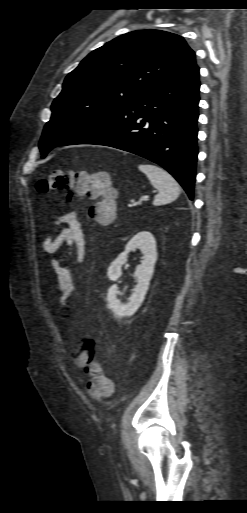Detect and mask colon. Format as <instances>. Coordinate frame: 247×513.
<instances>
[{
	"label": "colon",
	"mask_w": 247,
	"mask_h": 513,
	"mask_svg": "<svg viewBox=\"0 0 247 513\" xmlns=\"http://www.w3.org/2000/svg\"><path fill=\"white\" fill-rule=\"evenodd\" d=\"M105 174L77 170L53 171L36 184L39 193H61L70 201L75 194L87 196L94 201L88 214L102 225H109L115 219L113 212L116 196L109 187ZM71 356L76 361L77 370L87 379L88 394L97 399H104L113 393L112 381L103 373L102 366L93 359L92 345L87 340L78 341L71 349Z\"/></svg>",
	"instance_id": "1"
}]
</instances>
